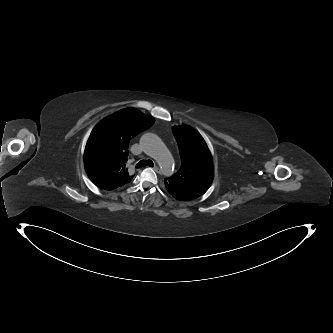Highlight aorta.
Here are the masks:
<instances>
[{"mask_svg":"<svg viewBox=\"0 0 333 333\" xmlns=\"http://www.w3.org/2000/svg\"><path fill=\"white\" fill-rule=\"evenodd\" d=\"M145 153L158 164L161 172L170 175L173 171L174 159L164 142L153 133H146L140 138Z\"/></svg>","mask_w":333,"mask_h":333,"instance_id":"aorta-1","label":"aorta"}]
</instances>
